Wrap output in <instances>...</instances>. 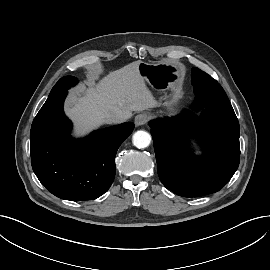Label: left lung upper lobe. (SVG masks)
<instances>
[{"mask_svg":"<svg viewBox=\"0 0 270 270\" xmlns=\"http://www.w3.org/2000/svg\"><path fill=\"white\" fill-rule=\"evenodd\" d=\"M191 81L194 91H197L204 105L221 104L229 105L230 102L220 84L210 75L194 67L192 69Z\"/></svg>","mask_w":270,"mask_h":270,"instance_id":"5c2ea615","label":"left lung upper lobe"}]
</instances>
